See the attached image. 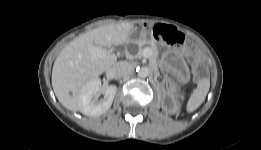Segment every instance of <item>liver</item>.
Wrapping results in <instances>:
<instances>
[{"mask_svg": "<svg viewBox=\"0 0 261 150\" xmlns=\"http://www.w3.org/2000/svg\"><path fill=\"white\" fill-rule=\"evenodd\" d=\"M134 24L122 22L102 26L79 35L60 52L52 69V87L59 102L71 111H80L78 95L88 82L111 69L117 61L115 54L92 60L89 47H111L126 43Z\"/></svg>", "mask_w": 261, "mask_h": 150, "instance_id": "obj_1", "label": "liver"}]
</instances>
